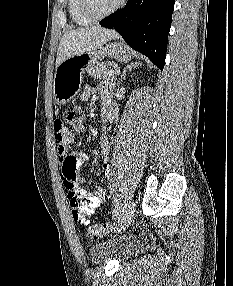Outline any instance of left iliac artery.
I'll use <instances>...</instances> for the list:
<instances>
[{"label":"left iliac artery","mask_w":233,"mask_h":286,"mask_svg":"<svg viewBox=\"0 0 233 286\" xmlns=\"http://www.w3.org/2000/svg\"><path fill=\"white\" fill-rule=\"evenodd\" d=\"M118 214H119V207L116 206L115 209L113 210V216H114V217H117Z\"/></svg>","instance_id":"1"}]
</instances>
